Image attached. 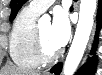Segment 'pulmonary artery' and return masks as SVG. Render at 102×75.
I'll use <instances>...</instances> for the list:
<instances>
[{
    "instance_id": "1",
    "label": "pulmonary artery",
    "mask_w": 102,
    "mask_h": 75,
    "mask_svg": "<svg viewBox=\"0 0 102 75\" xmlns=\"http://www.w3.org/2000/svg\"><path fill=\"white\" fill-rule=\"evenodd\" d=\"M55 1L54 0H39V1H31L27 7H29L34 12L41 14L48 7H50Z\"/></svg>"
}]
</instances>
